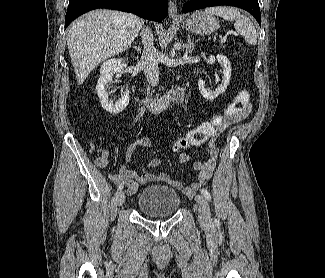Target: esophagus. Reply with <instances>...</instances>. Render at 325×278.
<instances>
[{"instance_id":"obj_1","label":"esophagus","mask_w":325,"mask_h":278,"mask_svg":"<svg viewBox=\"0 0 325 278\" xmlns=\"http://www.w3.org/2000/svg\"><path fill=\"white\" fill-rule=\"evenodd\" d=\"M169 18L173 21L181 19V17L178 15L176 4L171 0L169 2Z\"/></svg>"}]
</instances>
